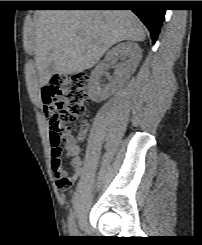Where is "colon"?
Listing matches in <instances>:
<instances>
[{
  "mask_svg": "<svg viewBox=\"0 0 202 245\" xmlns=\"http://www.w3.org/2000/svg\"><path fill=\"white\" fill-rule=\"evenodd\" d=\"M57 101L55 111L47 112V119L50 123L49 141L53 148H59L64 140L66 131L73 132L75 123L82 119L86 112V102L89 97L87 75H66L59 74L54 77ZM82 134L86 128L81 126Z\"/></svg>",
  "mask_w": 202,
  "mask_h": 245,
  "instance_id": "5ec220e1",
  "label": "colon"
}]
</instances>
